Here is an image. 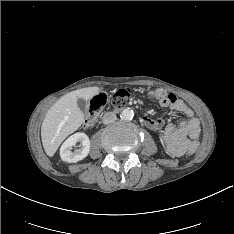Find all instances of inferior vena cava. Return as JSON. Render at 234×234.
<instances>
[{"instance_id":"obj_1","label":"inferior vena cava","mask_w":234,"mask_h":234,"mask_svg":"<svg viewBox=\"0 0 234 234\" xmlns=\"http://www.w3.org/2000/svg\"><path fill=\"white\" fill-rule=\"evenodd\" d=\"M117 119L116 114L113 112H107L104 114L102 120L104 124H109L114 122Z\"/></svg>"}]
</instances>
